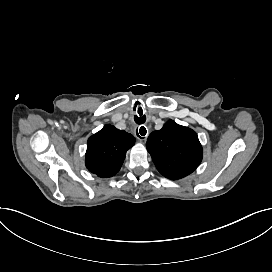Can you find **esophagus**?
Masks as SVG:
<instances>
[{"label": "esophagus", "instance_id": "esophagus-1", "mask_svg": "<svg viewBox=\"0 0 272 272\" xmlns=\"http://www.w3.org/2000/svg\"><path fill=\"white\" fill-rule=\"evenodd\" d=\"M139 134H140V132H139ZM139 134L137 133V138H138L139 140H144V136L139 135Z\"/></svg>", "mask_w": 272, "mask_h": 272}]
</instances>
